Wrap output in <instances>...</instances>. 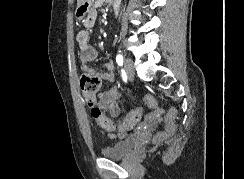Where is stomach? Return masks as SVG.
<instances>
[{
    "label": "stomach",
    "instance_id": "1",
    "mask_svg": "<svg viewBox=\"0 0 244 179\" xmlns=\"http://www.w3.org/2000/svg\"><path fill=\"white\" fill-rule=\"evenodd\" d=\"M91 6L92 0H80V4H78L75 12L76 18H78V20H83L84 16H86L87 12H89Z\"/></svg>",
    "mask_w": 244,
    "mask_h": 179
}]
</instances>
